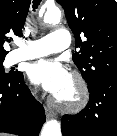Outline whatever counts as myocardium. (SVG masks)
Listing matches in <instances>:
<instances>
[{
    "label": "myocardium",
    "mask_w": 117,
    "mask_h": 136,
    "mask_svg": "<svg viewBox=\"0 0 117 136\" xmlns=\"http://www.w3.org/2000/svg\"><path fill=\"white\" fill-rule=\"evenodd\" d=\"M72 93L70 97L64 98L58 95L52 97V102L56 108L63 111L77 112L83 109L89 101V88L78 72L71 74Z\"/></svg>",
    "instance_id": "f54148a6"
}]
</instances>
